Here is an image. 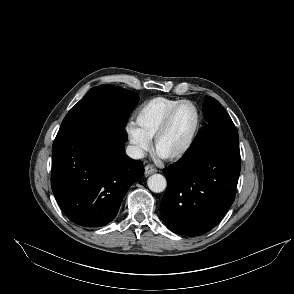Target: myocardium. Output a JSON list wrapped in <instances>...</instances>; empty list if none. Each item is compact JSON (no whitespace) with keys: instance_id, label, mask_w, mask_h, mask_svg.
<instances>
[{"instance_id":"f54148a6","label":"myocardium","mask_w":294,"mask_h":294,"mask_svg":"<svg viewBox=\"0 0 294 294\" xmlns=\"http://www.w3.org/2000/svg\"><path fill=\"white\" fill-rule=\"evenodd\" d=\"M184 104H190L194 107L195 111H196V115H197V120H196V125L195 128L189 138V140L187 141V143L183 146V148H181L179 151L170 154V155H161L158 151V147H159V143L161 141V139L163 138V136L166 134V132L168 131L172 119L174 117V115L176 114V112L178 111V109L184 105ZM201 125H202V114L200 111L199 106L192 100H188V99H183L181 101H179L177 104H175L166 114V116L164 117L161 125L159 126L157 132L155 133L154 136V142H153V148H154V152L155 154L160 157L161 159L165 160V161H178L181 158H183L193 147L200 129H201Z\"/></svg>"}]
</instances>
